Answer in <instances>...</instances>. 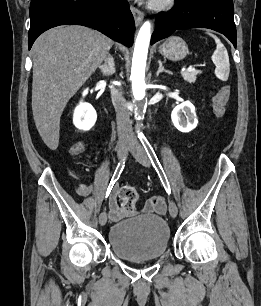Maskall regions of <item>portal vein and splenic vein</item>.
<instances>
[{"instance_id": "1", "label": "portal vein and splenic vein", "mask_w": 261, "mask_h": 306, "mask_svg": "<svg viewBox=\"0 0 261 306\" xmlns=\"http://www.w3.org/2000/svg\"><path fill=\"white\" fill-rule=\"evenodd\" d=\"M182 71L192 72V71H195V68L194 67H188L186 70H182Z\"/></svg>"}]
</instances>
